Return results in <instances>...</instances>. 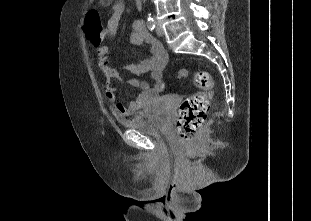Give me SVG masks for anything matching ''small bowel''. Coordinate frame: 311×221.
Masks as SVG:
<instances>
[{"label": "small bowel", "instance_id": "1", "mask_svg": "<svg viewBox=\"0 0 311 221\" xmlns=\"http://www.w3.org/2000/svg\"><path fill=\"white\" fill-rule=\"evenodd\" d=\"M124 11L125 3L123 0H118L113 3L111 15L104 29V36L109 38L116 36ZM142 22L143 20L141 19H136L133 22L131 41L135 45L143 43L149 44L151 47V58L118 68L111 65L109 60V48L107 46H101L97 49V65L104 79L103 87L105 96L113 115L117 119H123L138 113L149 100L156 97L164 88L163 72L168 65L169 54L164 46L146 30ZM121 71L131 73L135 76L149 73L151 83L137 78L124 79L121 76ZM113 80H118L140 90L136 99L129 106H125L118 102L117 90L112 83Z\"/></svg>", "mask_w": 311, "mask_h": 221}]
</instances>
